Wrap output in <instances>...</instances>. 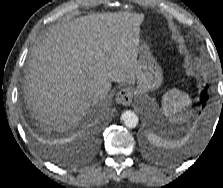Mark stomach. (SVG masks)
Masks as SVG:
<instances>
[{"mask_svg": "<svg viewBox=\"0 0 223 188\" xmlns=\"http://www.w3.org/2000/svg\"><path fill=\"white\" fill-rule=\"evenodd\" d=\"M162 70L151 55L146 42H141L138 47L136 64L137 87L134 89L136 96H142L149 91L157 89L162 83Z\"/></svg>", "mask_w": 223, "mask_h": 188, "instance_id": "1", "label": "stomach"}]
</instances>
